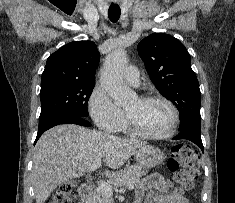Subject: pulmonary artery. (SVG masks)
<instances>
[{"label": "pulmonary artery", "instance_id": "1", "mask_svg": "<svg viewBox=\"0 0 235 203\" xmlns=\"http://www.w3.org/2000/svg\"><path fill=\"white\" fill-rule=\"evenodd\" d=\"M124 80L133 85L138 86L139 84V72L135 66H128L124 69L123 73Z\"/></svg>", "mask_w": 235, "mask_h": 203}]
</instances>
